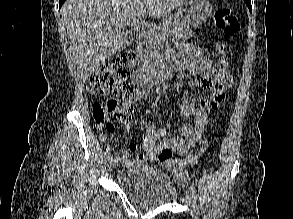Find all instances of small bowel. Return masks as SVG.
<instances>
[{
	"mask_svg": "<svg viewBox=\"0 0 293 219\" xmlns=\"http://www.w3.org/2000/svg\"><path fill=\"white\" fill-rule=\"evenodd\" d=\"M178 47L180 59L188 72L192 75L201 76L193 85L203 89H210L211 94L199 101H195L186 95L183 97L181 114L192 116L193 122L185 123L181 127L179 134L175 137H167L166 131L157 130L153 122L145 121L143 123L145 133L142 136L144 153H136L134 160H129V151L136 152V146L130 144L129 150L122 151L121 155L117 158L118 164L122 167L151 162L165 148H170L179 155H186L203 133L209 116L225 100L226 89L233 82L230 74H222L215 69L210 60L204 56L198 47L186 42H180ZM148 98L149 91L144 90L137 95L135 101H144ZM130 128V121L124 124L125 130ZM98 129L101 130L100 127ZM100 139L105 141V135L100 133ZM181 176L184 178L183 173Z\"/></svg>",
	"mask_w": 293,
	"mask_h": 219,
	"instance_id": "c3829d8e",
	"label": "small bowel"
}]
</instances>
